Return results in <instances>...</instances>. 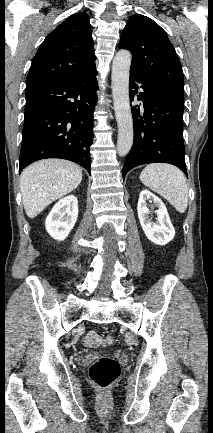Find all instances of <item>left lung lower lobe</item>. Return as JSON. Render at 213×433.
I'll return each instance as SVG.
<instances>
[{"mask_svg": "<svg viewBox=\"0 0 213 433\" xmlns=\"http://www.w3.org/2000/svg\"><path fill=\"white\" fill-rule=\"evenodd\" d=\"M129 93L130 101L138 94L143 109L132 107L134 140L124 163L123 179L132 168L155 162L175 165L187 176L182 133L183 100L151 86L131 70Z\"/></svg>", "mask_w": 213, "mask_h": 433, "instance_id": "obj_1", "label": "left lung lower lobe"}]
</instances>
